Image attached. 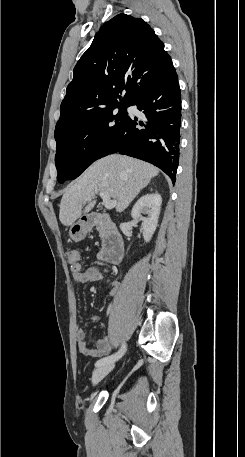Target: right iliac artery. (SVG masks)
Masks as SVG:
<instances>
[{"instance_id": "obj_1", "label": "right iliac artery", "mask_w": 245, "mask_h": 457, "mask_svg": "<svg viewBox=\"0 0 245 457\" xmlns=\"http://www.w3.org/2000/svg\"><path fill=\"white\" fill-rule=\"evenodd\" d=\"M125 351H126V345L123 344L121 346V349L118 352L99 359L96 362L95 366L98 367V366H101V365H104V364L113 363L116 360H118L119 358H121L123 356V354L125 353Z\"/></svg>"}]
</instances>
